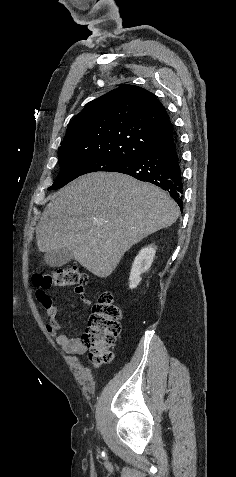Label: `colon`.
Returning <instances> with one entry per match:
<instances>
[{"label": "colon", "mask_w": 236, "mask_h": 477, "mask_svg": "<svg viewBox=\"0 0 236 477\" xmlns=\"http://www.w3.org/2000/svg\"><path fill=\"white\" fill-rule=\"evenodd\" d=\"M88 279L84 271L72 267L50 274H37L34 276V284L39 289L75 287L76 292L83 293ZM121 317V309L115 304L113 296L109 292H102L83 335L92 365L100 366L112 359V348L121 331Z\"/></svg>", "instance_id": "1"}]
</instances>
